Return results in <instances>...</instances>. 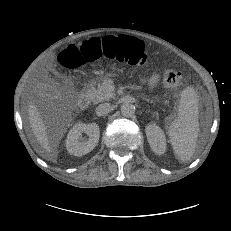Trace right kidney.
<instances>
[{
    "label": "right kidney",
    "instance_id": "ca27d5eb",
    "mask_svg": "<svg viewBox=\"0 0 231 231\" xmlns=\"http://www.w3.org/2000/svg\"><path fill=\"white\" fill-rule=\"evenodd\" d=\"M82 133H86L89 136L86 141L82 139ZM99 137L100 130L96 123H77L68 133L66 139L67 151L75 156H83L96 147Z\"/></svg>",
    "mask_w": 231,
    "mask_h": 231
}]
</instances>
